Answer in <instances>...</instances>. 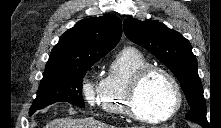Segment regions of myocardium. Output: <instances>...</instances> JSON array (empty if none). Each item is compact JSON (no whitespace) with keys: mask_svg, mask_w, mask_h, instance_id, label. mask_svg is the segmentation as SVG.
I'll return each mask as SVG.
<instances>
[{"mask_svg":"<svg viewBox=\"0 0 221 128\" xmlns=\"http://www.w3.org/2000/svg\"><path fill=\"white\" fill-rule=\"evenodd\" d=\"M154 73H161L168 79L172 88L174 100L171 107L167 110L166 113L158 117H149L143 114L137 108L136 100L138 92L143 82ZM181 102H182L181 91L175 77L167 69L163 67L148 65L142 68L139 72H137L133 77L132 81L130 82L126 97V110L128 115H130L132 118L138 121L150 124H158L172 119L180 110Z\"/></svg>","mask_w":221,"mask_h":128,"instance_id":"myocardium-1","label":"myocardium"}]
</instances>
